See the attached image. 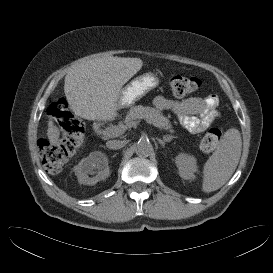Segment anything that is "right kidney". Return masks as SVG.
Instances as JSON below:
<instances>
[{"label":"right kidney","mask_w":273,"mask_h":273,"mask_svg":"<svg viewBox=\"0 0 273 273\" xmlns=\"http://www.w3.org/2000/svg\"><path fill=\"white\" fill-rule=\"evenodd\" d=\"M95 172L96 176H89ZM76 175L81 184L87 185H94L99 180L107 178L109 176L107 157L102 153L90 154L79 163Z\"/></svg>","instance_id":"1"}]
</instances>
